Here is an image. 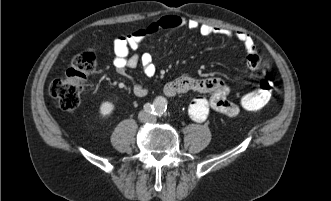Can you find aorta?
Listing matches in <instances>:
<instances>
[{"instance_id":"aorta-1","label":"aorta","mask_w":331,"mask_h":201,"mask_svg":"<svg viewBox=\"0 0 331 201\" xmlns=\"http://www.w3.org/2000/svg\"><path fill=\"white\" fill-rule=\"evenodd\" d=\"M166 106V101L163 98L159 97L153 101V110L157 114L163 113L166 109Z\"/></svg>"}]
</instances>
